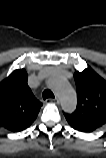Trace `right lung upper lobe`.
Returning a JSON list of instances; mask_svg holds the SVG:
<instances>
[{
    "mask_svg": "<svg viewBox=\"0 0 106 158\" xmlns=\"http://www.w3.org/2000/svg\"><path fill=\"white\" fill-rule=\"evenodd\" d=\"M27 80L26 70L17 69L0 83V126L12 132L28 128L42 106Z\"/></svg>",
    "mask_w": 106,
    "mask_h": 158,
    "instance_id": "cb5924a9",
    "label": "right lung upper lobe"
}]
</instances>
